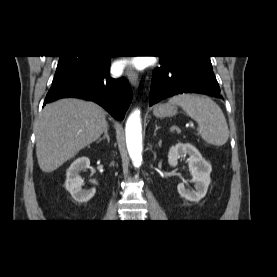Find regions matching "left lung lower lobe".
I'll use <instances>...</instances> for the list:
<instances>
[{"label":"left lung lower lobe","instance_id":"left-lung-lower-lobe-1","mask_svg":"<svg viewBox=\"0 0 277 277\" xmlns=\"http://www.w3.org/2000/svg\"><path fill=\"white\" fill-rule=\"evenodd\" d=\"M153 72L150 106L181 93H201L223 99L210 59L186 56L160 57Z\"/></svg>","mask_w":277,"mask_h":277}]
</instances>
